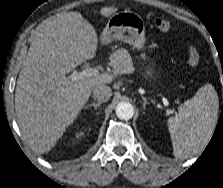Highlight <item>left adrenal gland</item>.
Here are the masks:
<instances>
[{
	"label": "left adrenal gland",
	"instance_id": "left-adrenal-gland-1",
	"mask_svg": "<svg viewBox=\"0 0 223 188\" xmlns=\"http://www.w3.org/2000/svg\"><path fill=\"white\" fill-rule=\"evenodd\" d=\"M142 99L144 100V102H143V108L145 109V106H146V104H148V101H147V99H146L145 97H143V96H142ZM152 103L155 104L154 101H152Z\"/></svg>",
	"mask_w": 223,
	"mask_h": 188
}]
</instances>
